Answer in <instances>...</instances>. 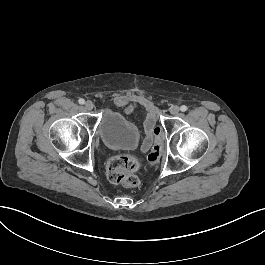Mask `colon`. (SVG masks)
<instances>
[{"instance_id": "colon-1", "label": "colon", "mask_w": 265, "mask_h": 265, "mask_svg": "<svg viewBox=\"0 0 265 265\" xmlns=\"http://www.w3.org/2000/svg\"><path fill=\"white\" fill-rule=\"evenodd\" d=\"M160 129L155 128L154 132L160 134ZM162 156L161 139H156L154 146L147 155L150 165L157 164ZM142 157L136 154L121 153L113 156L106 168V175L109 181L128 188L139 186L140 179L137 176L141 166Z\"/></svg>"}]
</instances>
